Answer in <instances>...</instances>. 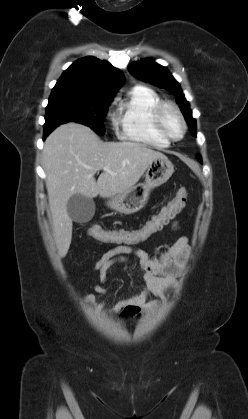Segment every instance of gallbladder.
Returning a JSON list of instances; mask_svg holds the SVG:
<instances>
[{"instance_id": "1", "label": "gallbladder", "mask_w": 248, "mask_h": 419, "mask_svg": "<svg viewBox=\"0 0 248 419\" xmlns=\"http://www.w3.org/2000/svg\"><path fill=\"white\" fill-rule=\"evenodd\" d=\"M67 211L70 218L77 223H85L92 219L95 213V203L92 198L74 194L68 200Z\"/></svg>"}]
</instances>
